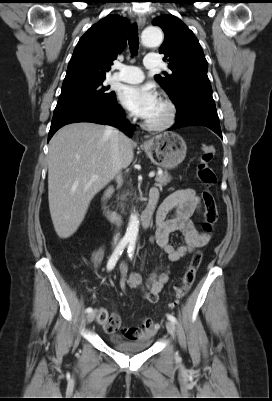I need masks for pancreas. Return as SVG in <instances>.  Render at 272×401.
Instances as JSON below:
<instances>
[{
  "label": "pancreas",
  "mask_w": 272,
  "mask_h": 401,
  "mask_svg": "<svg viewBox=\"0 0 272 401\" xmlns=\"http://www.w3.org/2000/svg\"><path fill=\"white\" fill-rule=\"evenodd\" d=\"M155 181L157 186H165L171 181V177L167 171H164L163 173L156 175ZM127 195H131V193L127 192L126 194H123L121 199L125 200Z\"/></svg>",
  "instance_id": "obj_1"
}]
</instances>
